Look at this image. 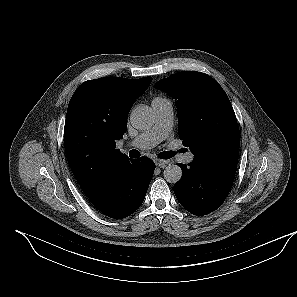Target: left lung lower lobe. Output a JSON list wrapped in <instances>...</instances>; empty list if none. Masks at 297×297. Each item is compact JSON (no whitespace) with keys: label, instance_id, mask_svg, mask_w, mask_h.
<instances>
[{"label":"left lung lower lobe","instance_id":"0a47b994","mask_svg":"<svg viewBox=\"0 0 297 297\" xmlns=\"http://www.w3.org/2000/svg\"><path fill=\"white\" fill-rule=\"evenodd\" d=\"M237 163L238 150L202 164L179 163L183 176L174 186L179 203L197 216L219 208L233 185Z\"/></svg>","mask_w":297,"mask_h":297}]
</instances>
